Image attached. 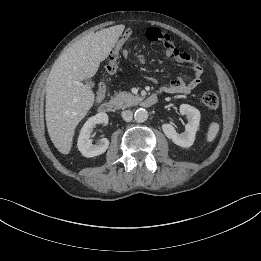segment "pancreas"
<instances>
[{
	"instance_id": "1",
	"label": "pancreas",
	"mask_w": 261,
	"mask_h": 261,
	"mask_svg": "<svg viewBox=\"0 0 261 261\" xmlns=\"http://www.w3.org/2000/svg\"><path fill=\"white\" fill-rule=\"evenodd\" d=\"M141 98L139 96H135L129 92H119L114 97H112V101L119 108H127L135 105Z\"/></svg>"
}]
</instances>
